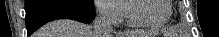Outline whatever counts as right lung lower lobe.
Returning a JSON list of instances; mask_svg holds the SVG:
<instances>
[{
    "instance_id": "1",
    "label": "right lung lower lobe",
    "mask_w": 219,
    "mask_h": 37,
    "mask_svg": "<svg viewBox=\"0 0 219 37\" xmlns=\"http://www.w3.org/2000/svg\"><path fill=\"white\" fill-rule=\"evenodd\" d=\"M27 35L55 19H73L83 23L93 20L94 0H25Z\"/></svg>"
}]
</instances>
